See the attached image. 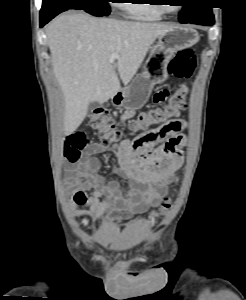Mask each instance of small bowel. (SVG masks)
Wrapping results in <instances>:
<instances>
[{
    "instance_id": "small-bowel-1",
    "label": "small bowel",
    "mask_w": 246,
    "mask_h": 300,
    "mask_svg": "<svg viewBox=\"0 0 246 300\" xmlns=\"http://www.w3.org/2000/svg\"><path fill=\"white\" fill-rule=\"evenodd\" d=\"M132 115L131 110L122 115L125 127ZM178 121L181 126L177 133L148 153L133 149L130 138H125L116 149L88 143L81 158L72 161L65 177L66 191L72 197V214L94 221L114 211L135 214L157 206L177 180V171L183 164L184 121ZM110 151L115 153L118 165L105 175L100 172L98 155ZM114 175L127 179L126 192L111 178Z\"/></svg>"
}]
</instances>
